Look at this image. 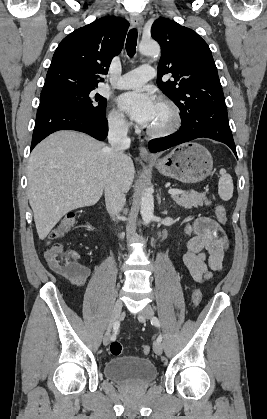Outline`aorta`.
<instances>
[{"label":"aorta","mask_w":267,"mask_h":419,"mask_svg":"<svg viewBox=\"0 0 267 419\" xmlns=\"http://www.w3.org/2000/svg\"><path fill=\"white\" fill-rule=\"evenodd\" d=\"M139 51L143 55L156 59L160 55V46L155 41L141 42ZM140 213L144 225L147 226L154 217V198L149 189L142 192Z\"/></svg>","instance_id":"1"}]
</instances>
